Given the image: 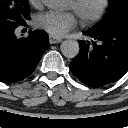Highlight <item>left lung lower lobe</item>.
Wrapping results in <instances>:
<instances>
[{
  "mask_svg": "<svg viewBox=\"0 0 128 128\" xmlns=\"http://www.w3.org/2000/svg\"><path fill=\"white\" fill-rule=\"evenodd\" d=\"M92 44L80 41V52L70 63L72 73L84 84L101 87L119 80L128 71V26L99 33L84 32Z\"/></svg>",
  "mask_w": 128,
  "mask_h": 128,
  "instance_id": "left-lung-lower-lobe-1",
  "label": "left lung lower lobe"
}]
</instances>
